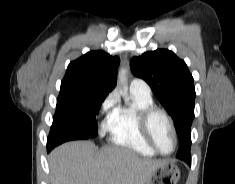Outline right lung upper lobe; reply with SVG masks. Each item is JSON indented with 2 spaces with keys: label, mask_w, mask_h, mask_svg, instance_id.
Returning a JSON list of instances; mask_svg holds the SVG:
<instances>
[{
  "label": "right lung upper lobe",
  "mask_w": 235,
  "mask_h": 184,
  "mask_svg": "<svg viewBox=\"0 0 235 184\" xmlns=\"http://www.w3.org/2000/svg\"><path fill=\"white\" fill-rule=\"evenodd\" d=\"M120 59L104 51H90L72 61L61 82L60 91L68 89L94 88L102 91L100 100L116 86L117 68Z\"/></svg>",
  "instance_id": "right-lung-upper-lobe-1"
}]
</instances>
